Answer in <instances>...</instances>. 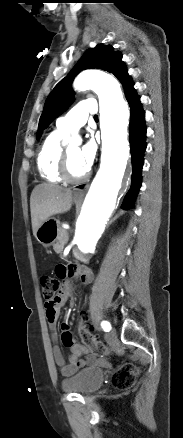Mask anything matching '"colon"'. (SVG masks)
I'll return each instance as SVG.
<instances>
[{
	"label": "colon",
	"instance_id": "colon-1",
	"mask_svg": "<svg viewBox=\"0 0 183 438\" xmlns=\"http://www.w3.org/2000/svg\"><path fill=\"white\" fill-rule=\"evenodd\" d=\"M40 282L44 298L47 301L54 299L60 289L59 280L51 276H44L41 278ZM88 322V313L82 310L80 312L78 324V331L82 342L91 350L93 354L98 356L108 355L110 353L109 348L105 344L94 339L89 330ZM138 374V367L131 363H124L113 374L112 384L114 388L119 391H127L135 385Z\"/></svg>",
	"mask_w": 183,
	"mask_h": 438
}]
</instances>
